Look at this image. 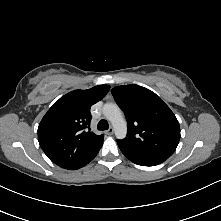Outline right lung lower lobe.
<instances>
[{
    "label": "right lung lower lobe",
    "mask_w": 221,
    "mask_h": 221,
    "mask_svg": "<svg viewBox=\"0 0 221 221\" xmlns=\"http://www.w3.org/2000/svg\"><path fill=\"white\" fill-rule=\"evenodd\" d=\"M98 153V152H97ZM97 153L87 162V163H89L90 161H92L94 158H95V156L97 155ZM87 163H85L83 166H85ZM82 166V167H83Z\"/></svg>",
    "instance_id": "1"
}]
</instances>
